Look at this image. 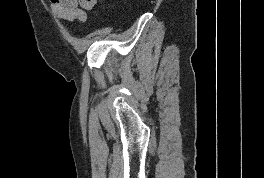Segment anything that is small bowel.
I'll return each instance as SVG.
<instances>
[{"label": "small bowel", "mask_w": 264, "mask_h": 178, "mask_svg": "<svg viewBox=\"0 0 264 178\" xmlns=\"http://www.w3.org/2000/svg\"><path fill=\"white\" fill-rule=\"evenodd\" d=\"M52 11L55 15L66 21L85 22L87 19V10L92 9L96 0H91L85 4V0H49Z\"/></svg>", "instance_id": "c3829d8e"}]
</instances>
